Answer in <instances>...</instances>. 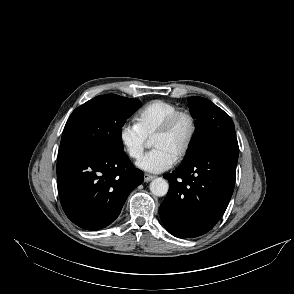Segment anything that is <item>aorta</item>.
Listing matches in <instances>:
<instances>
[{
    "mask_svg": "<svg viewBox=\"0 0 294 294\" xmlns=\"http://www.w3.org/2000/svg\"><path fill=\"white\" fill-rule=\"evenodd\" d=\"M169 185L164 178H156L150 183V191L158 197L165 196L168 192Z\"/></svg>",
    "mask_w": 294,
    "mask_h": 294,
    "instance_id": "aorta-1",
    "label": "aorta"
}]
</instances>
